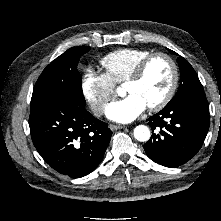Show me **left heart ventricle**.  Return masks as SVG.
I'll return each instance as SVG.
<instances>
[{
    "mask_svg": "<svg viewBox=\"0 0 221 221\" xmlns=\"http://www.w3.org/2000/svg\"><path fill=\"white\" fill-rule=\"evenodd\" d=\"M171 79L172 69L169 62L158 57L150 62L139 81L125 84V93L137 95L148 107L166 94Z\"/></svg>",
    "mask_w": 221,
    "mask_h": 221,
    "instance_id": "1",
    "label": "left heart ventricle"
}]
</instances>
